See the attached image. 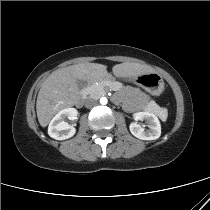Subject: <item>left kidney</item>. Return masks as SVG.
I'll return each mask as SVG.
<instances>
[{
	"mask_svg": "<svg viewBox=\"0 0 210 210\" xmlns=\"http://www.w3.org/2000/svg\"><path fill=\"white\" fill-rule=\"evenodd\" d=\"M136 120H147L149 130H144L136 122L130 124V132L141 140H156L161 135V124L158 117L150 112H137L134 114Z\"/></svg>",
	"mask_w": 210,
	"mask_h": 210,
	"instance_id": "obj_1",
	"label": "left kidney"
}]
</instances>
